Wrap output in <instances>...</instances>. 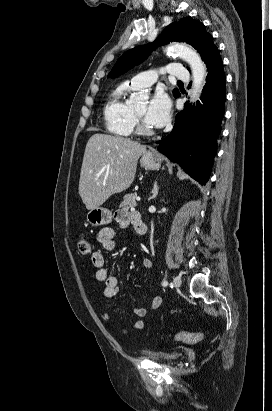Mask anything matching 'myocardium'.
I'll list each match as a JSON object with an SVG mask.
<instances>
[{
    "label": "myocardium",
    "instance_id": "myocardium-1",
    "mask_svg": "<svg viewBox=\"0 0 272 411\" xmlns=\"http://www.w3.org/2000/svg\"><path fill=\"white\" fill-rule=\"evenodd\" d=\"M131 115L134 123V128L138 134L144 136H151L154 134V131L142 122L141 118L137 115L134 108L131 109Z\"/></svg>",
    "mask_w": 272,
    "mask_h": 411
}]
</instances>
